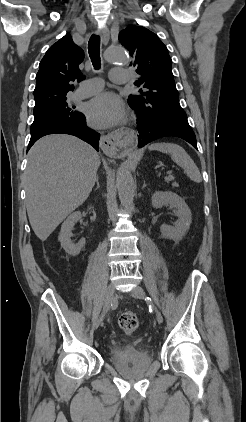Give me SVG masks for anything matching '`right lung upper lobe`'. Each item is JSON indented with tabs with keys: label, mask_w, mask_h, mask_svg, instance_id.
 I'll list each match as a JSON object with an SVG mask.
<instances>
[{
	"label": "right lung upper lobe",
	"mask_w": 246,
	"mask_h": 422,
	"mask_svg": "<svg viewBox=\"0 0 246 422\" xmlns=\"http://www.w3.org/2000/svg\"><path fill=\"white\" fill-rule=\"evenodd\" d=\"M83 59V50L69 34L48 49L36 75L34 109L67 99L66 94L74 89L70 82L84 79L78 68Z\"/></svg>",
	"instance_id": "1"
}]
</instances>
